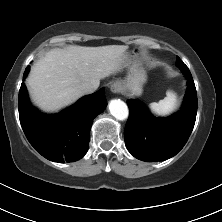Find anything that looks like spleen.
Returning <instances> with one entry per match:
<instances>
[{
	"mask_svg": "<svg viewBox=\"0 0 222 222\" xmlns=\"http://www.w3.org/2000/svg\"><path fill=\"white\" fill-rule=\"evenodd\" d=\"M178 104L177 96L172 91H167L166 97L159 102L150 103L149 107L153 113L159 116H167L171 114Z\"/></svg>",
	"mask_w": 222,
	"mask_h": 222,
	"instance_id": "1",
	"label": "spleen"
}]
</instances>
